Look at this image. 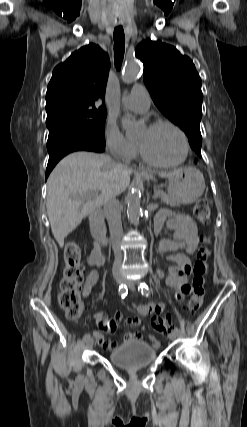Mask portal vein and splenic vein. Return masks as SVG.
Returning a JSON list of instances; mask_svg holds the SVG:
<instances>
[{"mask_svg": "<svg viewBox=\"0 0 247 427\" xmlns=\"http://www.w3.org/2000/svg\"><path fill=\"white\" fill-rule=\"evenodd\" d=\"M157 197V193L155 192V194L153 195V198H156Z\"/></svg>", "mask_w": 247, "mask_h": 427, "instance_id": "1", "label": "portal vein and splenic vein"}]
</instances>
